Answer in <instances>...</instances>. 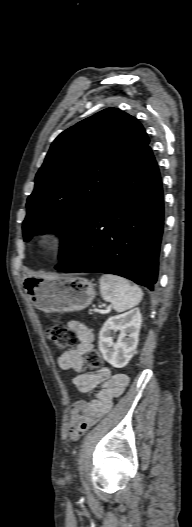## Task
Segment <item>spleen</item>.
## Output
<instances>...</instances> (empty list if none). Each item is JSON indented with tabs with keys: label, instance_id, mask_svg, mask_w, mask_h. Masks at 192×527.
I'll use <instances>...</instances> for the list:
<instances>
[{
	"label": "spleen",
	"instance_id": "spleen-1",
	"mask_svg": "<svg viewBox=\"0 0 192 527\" xmlns=\"http://www.w3.org/2000/svg\"><path fill=\"white\" fill-rule=\"evenodd\" d=\"M100 292L105 301L112 304L117 312H123L138 305L143 297L137 285L127 279L105 274L100 278Z\"/></svg>",
	"mask_w": 192,
	"mask_h": 527
}]
</instances>
